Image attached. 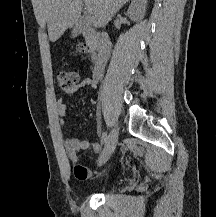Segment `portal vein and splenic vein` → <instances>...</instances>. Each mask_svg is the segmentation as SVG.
<instances>
[{
	"label": "portal vein and splenic vein",
	"instance_id": "obj_1",
	"mask_svg": "<svg viewBox=\"0 0 216 217\" xmlns=\"http://www.w3.org/2000/svg\"><path fill=\"white\" fill-rule=\"evenodd\" d=\"M85 6H86L87 12L90 13V14H92L93 11H92L90 5L87 2H85Z\"/></svg>",
	"mask_w": 216,
	"mask_h": 217
}]
</instances>
